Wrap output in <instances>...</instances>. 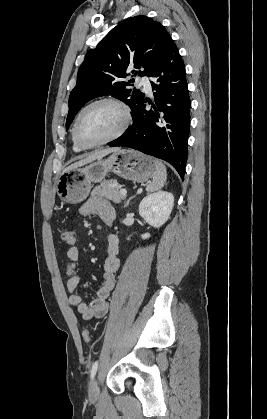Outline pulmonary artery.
<instances>
[{
    "mask_svg": "<svg viewBox=\"0 0 267 419\" xmlns=\"http://www.w3.org/2000/svg\"><path fill=\"white\" fill-rule=\"evenodd\" d=\"M139 85L143 86L146 92L151 93L152 86H151L150 79L148 77L146 76L141 77L139 80Z\"/></svg>",
    "mask_w": 267,
    "mask_h": 419,
    "instance_id": "obj_1",
    "label": "pulmonary artery"
}]
</instances>
